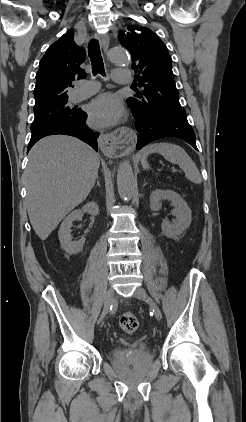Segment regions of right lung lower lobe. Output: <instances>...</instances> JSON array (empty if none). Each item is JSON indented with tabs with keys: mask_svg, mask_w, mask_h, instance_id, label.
<instances>
[{
	"mask_svg": "<svg viewBox=\"0 0 246 422\" xmlns=\"http://www.w3.org/2000/svg\"><path fill=\"white\" fill-rule=\"evenodd\" d=\"M86 119V113L80 110V114L73 120L51 122L31 130L32 135L28 145V151L39 139L55 134L77 137L97 151V138L99 133L93 132L87 127L85 124Z\"/></svg>",
	"mask_w": 246,
	"mask_h": 422,
	"instance_id": "right-lung-lower-lobe-1",
	"label": "right lung lower lobe"
}]
</instances>
